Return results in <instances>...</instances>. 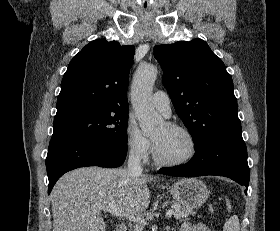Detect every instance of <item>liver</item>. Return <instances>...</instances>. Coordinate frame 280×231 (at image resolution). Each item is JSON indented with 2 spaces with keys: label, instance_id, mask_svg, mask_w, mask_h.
<instances>
[{
  "label": "liver",
  "instance_id": "6515ba94",
  "mask_svg": "<svg viewBox=\"0 0 280 231\" xmlns=\"http://www.w3.org/2000/svg\"><path fill=\"white\" fill-rule=\"evenodd\" d=\"M146 173L128 169L78 167L55 183L52 193L53 231H105L102 209L119 207L125 217L140 215L150 203Z\"/></svg>",
  "mask_w": 280,
  "mask_h": 231
}]
</instances>
